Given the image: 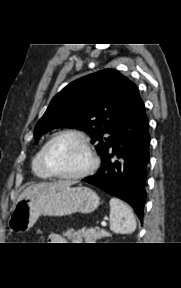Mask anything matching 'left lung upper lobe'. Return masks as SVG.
Returning <instances> with one entry per match:
<instances>
[{"instance_id": "5c2ea615", "label": "left lung upper lobe", "mask_w": 181, "mask_h": 288, "mask_svg": "<svg viewBox=\"0 0 181 288\" xmlns=\"http://www.w3.org/2000/svg\"><path fill=\"white\" fill-rule=\"evenodd\" d=\"M137 94L136 85L115 69L77 79L52 99L35 126V142L55 128L80 129L90 135L102 158L111 147Z\"/></svg>"}]
</instances>
